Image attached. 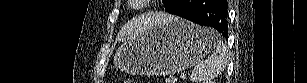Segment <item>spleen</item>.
Masks as SVG:
<instances>
[{"mask_svg":"<svg viewBox=\"0 0 307 83\" xmlns=\"http://www.w3.org/2000/svg\"><path fill=\"white\" fill-rule=\"evenodd\" d=\"M208 38L213 42V52L204 61H198L191 72L190 79L193 83H210L213 78L219 76L226 68L228 54L226 46L221 40L220 34L208 28Z\"/></svg>","mask_w":307,"mask_h":83,"instance_id":"1","label":"spleen"}]
</instances>
